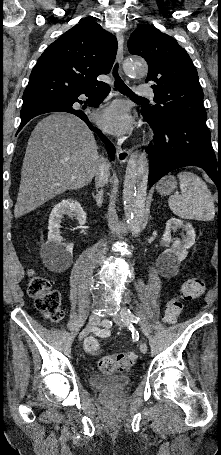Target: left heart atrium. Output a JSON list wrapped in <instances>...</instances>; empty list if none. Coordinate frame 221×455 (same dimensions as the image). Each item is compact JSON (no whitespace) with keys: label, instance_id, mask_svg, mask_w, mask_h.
Returning <instances> with one entry per match:
<instances>
[{"label":"left heart atrium","instance_id":"left-heart-atrium-1","mask_svg":"<svg viewBox=\"0 0 221 455\" xmlns=\"http://www.w3.org/2000/svg\"><path fill=\"white\" fill-rule=\"evenodd\" d=\"M97 121L105 131L115 135L126 133L132 125L127 107L121 103H113L103 109L98 114Z\"/></svg>","mask_w":221,"mask_h":455}]
</instances>
